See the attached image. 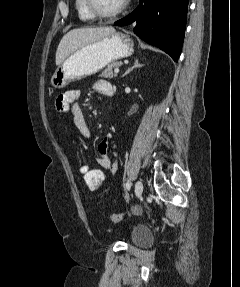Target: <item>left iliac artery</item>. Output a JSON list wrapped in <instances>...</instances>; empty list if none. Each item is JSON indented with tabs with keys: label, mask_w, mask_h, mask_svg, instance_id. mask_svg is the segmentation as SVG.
I'll return each instance as SVG.
<instances>
[{
	"label": "left iliac artery",
	"mask_w": 240,
	"mask_h": 287,
	"mask_svg": "<svg viewBox=\"0 0 240 287\" xmlns=\"http://www.w3.org/2000/svg\"><path fill=\"white\" fill-rule=\"evenodd\" d=\"M130 188H131V183H130L129 181H127V183H126V189L130 190Z\"/></svg>",
	"instance_id": "obj_1"
}]
</instances>
